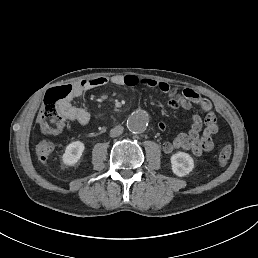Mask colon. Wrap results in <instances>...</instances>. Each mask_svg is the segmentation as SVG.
I'll use <instances>...</instances> for the list:
<instances>
[{
    "instance_id": "1",
    "label": "colon",
    "mask_w": 258,
    "mask_h": 258,
    "mask_svg": "<svg viewBox=\"0 0 258 258\" xmlns=\"http://www.w3.org/2000/svg\"><path fill=\"white\" fill-rule=\"evenodd\" d=\"M73 92L74 86L71 84L54 87L47 91L37 117L42 133L55 136L63 131L66 118L62 112V106L72 97ZM169 97V104L172 107L180 105L178 94L171 92ZM231 153V146L226 144L219 152L218 163L222 166L226 165L231 158Z\"/></svg>"
}]
</instances>
